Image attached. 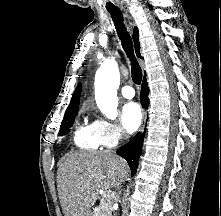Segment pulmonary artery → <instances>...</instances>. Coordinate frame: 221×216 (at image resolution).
I'll use <instances>...</instances> for the list:
<instances>
[{
  "label": "pulmonary artery",
  "instance_id": "pulmonary-artery-1",
  "mask_svg": "<svg viewBox=\"0 0 221 216\" xmlns=\"http://www.w3.org/2000/svg\"><path fill=\"white\" fill-rule=\"evenodd\" d=\"M121 94L123 95V97H125L127 99H131L135 96V91L132 86L125 85L121 89Z\"/></svg>",
  "mask_w": 221,
  "mask_h": 216
}]
</instances>
